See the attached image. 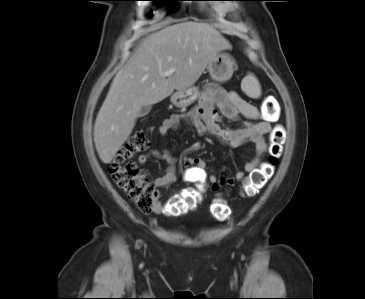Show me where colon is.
I'll list each match as a JSON object with an SVG mask.
<instances>
[{
	"label": "colon",
	"mask_w": 365,
	"mask_h": 299,
	"mask_svg": "<svg viewBox=\"0 0 365 299\" xmlns=\"http://www.w3.org/2000/svg\"><path fill=\"white\" fill-rule=\"evenodd\" d=\"M275 113L276 110L273 103L267 102L262 111V116L265 119H272ZM283 143L284 130L277 128L270 137L267 161L260 169L252 172L244 180L242 185L243 196H254L272 177L282 154ZM148 147L149 141L144 130H136L117 151L108 167V172L116 185L127 194L128 198L142 212L146 213L153 211L156 206V188L148 177L140 171L138 165L131 160V157L136 153L146 151ZM203 192L204 186L198 184L172 197L167 203V214L180 215L195 209L202 200ZM210 212L218 220L226 219L229 216V208L220 199L211 205Z\"/></svg>",
	"instance_id": "5ec220e1"
}]
</instances>
